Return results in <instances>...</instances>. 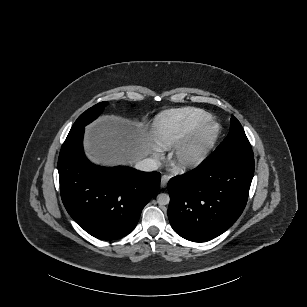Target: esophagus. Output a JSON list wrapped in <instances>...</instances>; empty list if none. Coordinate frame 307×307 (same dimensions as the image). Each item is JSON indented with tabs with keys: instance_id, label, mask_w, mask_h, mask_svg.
<instances>
[{
	"instance_id": "34e87169",
	"label": "esophagus",
	"mask_w": 307,
	"mask_h": 307,
	"mask_svg": "<svg viewBox=\"0 0 307 307\" xmlns=\"http://www.w3.org/2000/svg\"><path fill=\"white\" fill-rule=\"evenodd\" d=\"M169 179L170 177L168 175H163L161 177V187L162 188H166Z\"/></svg>"
}]
</instances>
